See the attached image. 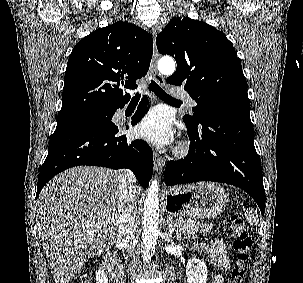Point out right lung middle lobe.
I'll return each instance as SVG.
<instances>
[{"label":"right lung middle lobe","instance_id":"dd1d6c3e","mask_svg":"<svg viewBox=\"0 0 303 283\" xmlns=\"http://www.w3.org/2000/svg\"><path fill=\"white\" fill-rule=\"evenodd\" d=\"M113 111H88L66 116H58L56 130L70 127H89L94 129L114 128L111 121Z\"/></svg>","mask_w":303,"mask_h":283}]
</instances>
